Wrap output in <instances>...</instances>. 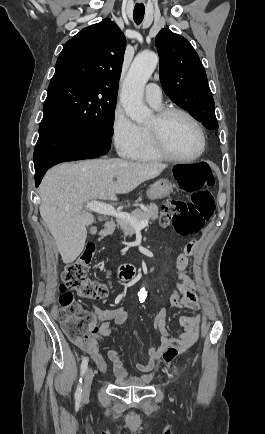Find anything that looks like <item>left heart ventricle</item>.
<instances>
[{
    "instance_id": "obj_1",
    "label": "left heart ventricle",
    "mask_w": 265,
    "mask_h": 434,
    "mask_svg": "<svg viewBox=\"0 0 265 434\" xmlns=\"http://www.w3.org/2000/svg\"><path fill=\"white\" fill-rule=\"evenodd\" d=\"M166 140L169 147L181 157L194 156L201 147V140L196 127L189 119L180 114H174L169 118Z\"/></svg>"
}]
</instances>
